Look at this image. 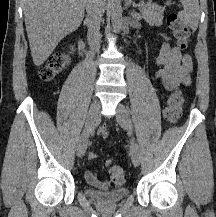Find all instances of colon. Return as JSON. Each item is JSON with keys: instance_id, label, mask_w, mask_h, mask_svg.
Wrapping results in <instances>:
<instances>
[{"instance_id": "1", "label": "colon", "mask_w": 216, "mask_h": 217, "mask_svg": "<svg viewBox=\"0 0 216 217\" xmlns=\"http://www.w3.org/2000/svg\"><path fill=\"white\" fill-rule=\"evenodd\" d=\"M167 24L172 31L173 37L179 49L185 50L189 45L190 32L187 25L179 18L176 13H170L167 17ZM70 57L68 53L56 55L50 61L41 67L39 77L42 81L52 80L58 73L63 71L69 63ZM184 104V97L181 92H173L167 101L164 111L165 119L168 123H176L181 114ZM98 135L102 139L109 138L110 131L106 125L98 130ZM110 177L113 183L121 185L125 182V173L122 167L113 166L110 168Z\"/></svg>"}]
</instances>
